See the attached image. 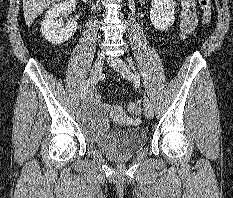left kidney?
<instances>
[{
	"mask_svg": "<svg viewBox=\"0 0 233 198\" xmlns=\"http://www.w3.org/2000/svg\"><path fill=\"white\" fill-rule=\"evenodd\" d=\"M174 12V0H151L150 20L156 30H168L175 21Z\"/></svg>",
	"mask_w": 233,
	"mask_h": 198,
	"instance_id": "1",
	"label": "left kidney"
}]
</instances>
